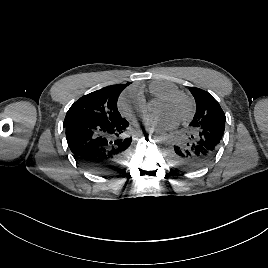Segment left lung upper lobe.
<instances>
[{
    "mask_svg": "<svg viewBox=\"0 0 268 268\" xmlns=\"http://www.w3.org/2000/svg\"><path fill=\"white\" fill-rule=\"evenodd\" d=\"M189 90L196 101V113L189 125L192 133L204 125L226 121L223 110L211 94L196 87H190Z\"/></svg>",
    "mask_w": 268,
    "mask_h": 268,
    "instance_id": "1",
    "label": "left lung upper lobe"
}]
</instances>
